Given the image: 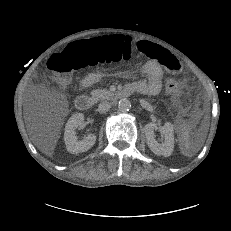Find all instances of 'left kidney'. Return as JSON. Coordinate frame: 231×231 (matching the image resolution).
<instances>
[{"label":"left kidney","instance_id":"5707ae66","mask_svg":"<svg viewBox=\"0 0 231 231\" xmlns=\"http://www.w3.org/2000/svg\"><path fill=\"white\" fill-rule=\"evenodd\" d=\"M159 130L164 138L162 143L155 139V131ZM147 144L150 150L156 155L168 157L172 154L174 148L173 125L169 122L159 127L156 123H148L144 127Z\"/></svg>","mask_w":231,"mask_h":231}]
</instances>
